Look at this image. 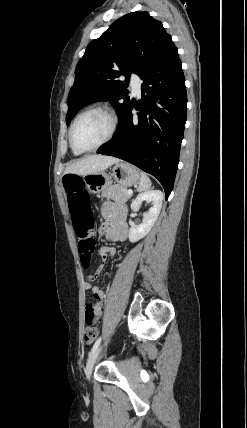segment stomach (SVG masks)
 <instances>
[{
  "mask_svg": "<svg viewBox=\"0 0 247 428\" xmlns=\"http://www.w3.org/2000/svg\"><path fill=\"white\" fill-rule=\"evenodd\" d=\"M82 179L91 194L98 195L111 186L114 179L119 185L132 186L140 180L139 170L127 162H118L108 174L105 170L82 176Z\"/></svg>",
  "mask_w": 247,
  "mask_h": 428,
  "instance_id": "0dacf381",
  "label": "stomach"
}]
</instances>
